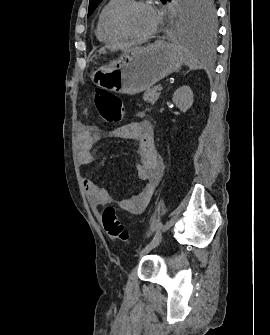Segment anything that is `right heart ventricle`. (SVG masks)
<instances>
[{
	"label": "right heart ventricle",
	"instance_id": "e07e8e85",
	"mask_svg": "<svg viewBox=\"0 0 270 335\" xmlns=\"http://www.w3.org/2000/svg\"><path fill=\"white\" fill-rule=\"evenodd\" d=\"M124 0H108L98 15L95 35L97 39L105 44H112L123 40L125 37L118 34L112 24L115 11L127 3Z\"/></svg>",
	"mask_w": 270,
	"mask_h": 335
}]
</instances>
